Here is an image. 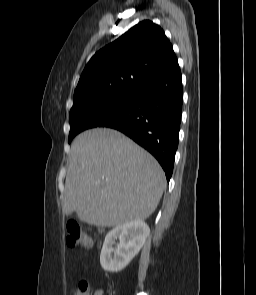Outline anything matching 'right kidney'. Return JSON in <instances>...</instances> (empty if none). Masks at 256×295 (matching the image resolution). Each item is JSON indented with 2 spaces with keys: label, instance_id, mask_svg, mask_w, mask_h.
<instances>
[{
  "label": "right kidney",
  "instance_id": "1",
  "mask_svg": "<svg viewBox=\"0 0 256 295\" xmlns=\"http://www.w3.org/2000/svg\"><path fill=\"white\" fill-rule=\"evenodd\" d=\"M149 234L150 229L142 220L127 222L113 228L106 235L101 250L102 268L115 273L123 270L138 254Z\"/></svg>",
  "mask_w": 256,
  "mask_h": 295
}]
</instances>
